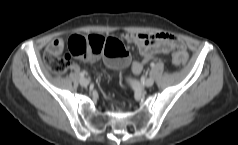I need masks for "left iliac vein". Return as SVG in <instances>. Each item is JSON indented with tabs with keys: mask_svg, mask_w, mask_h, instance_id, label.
<instances>
[{
	"mask_svg": "<svg viewBox=\"0 0 238 145\" xmlns=\"http://www.w3.org/2000/svg\"><path fill=\"white\" fill-rule=\"evenodd\" d=\"M154 84V80L152 78H147L145 81H144V86L145 87H151L153 86Z\"/></svg>",
	"mask_w": 238,
	"mask_h": 145,
	"instance_id": "4c4485c4",
	"label": "left iliac vein"
}]
</instances>
